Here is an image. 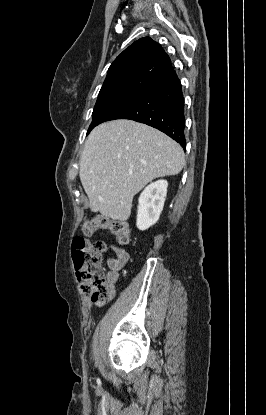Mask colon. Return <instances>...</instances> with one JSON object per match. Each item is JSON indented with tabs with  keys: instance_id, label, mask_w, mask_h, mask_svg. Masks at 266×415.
Returning a JSON list of instances; mask_svg holds the SVG:
<instances>
[{
	"instance_id": "1",
	"label": "colon",
	"mask_w": 266,
	"mask_h": 415,
	"mask_svg": "<svg viewBox=\"0 0 266 415\" xmlns=\"http://www.w3.org/2000/svg\"><path fill=\"white\" fill-rule=\"evenodd\" d=\"M101 229L108 230L120 244H128L131 240V231L125 221L95 214L83 222V236H77L73 241V261L82 288L97 302L108 301L113 293L110 277L102 263L106 247L102 242L90 244L85 237H91Z\"/></svg>"
}]
</instances>
